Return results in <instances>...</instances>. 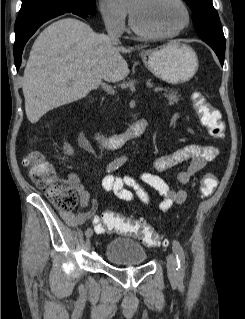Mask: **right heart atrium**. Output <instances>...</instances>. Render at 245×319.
<instances>
[{"instance_id": "obj_1", "label": "right heart atrium", "mask_w": 245, "mask_h": 319, "mask_svg": "<svg viewBox=\"0 0 245 319\" xmlns=\"http://www.w3.org/2000/svg\"><path fill=\"white\" fill-rule=\"evenodd\" d=\"M99 10L105 26L120 34L126 29L127 10L117 0H99Z\"/></svg>"}]
</instances>
